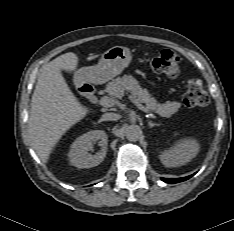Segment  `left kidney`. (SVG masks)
I'll use <instances>...</instances> for the list:
<instances>
[{
  "label": "left kidney",
  "instance_id": "1",
  "mask_svg": "<svg viewBox=\"0 0 234 231\" xmlns=\"http://www.w3.org/2000/svg\"><path fill=\"white\" fill-rule=\"evenodd\" d=\"M200 150L199 143L194 139H182L174 146L160 152L159 159L166 167H178L189 162Z\"/></svg>",
  "mask_w": 234,
  "mask_h": 231
}]
</instances>
